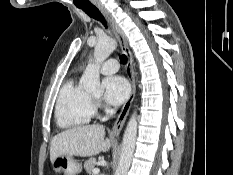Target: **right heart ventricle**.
I'll list each match as a JSON object with an SVG mask.
<instances>
[{
	"mask_svg": "<svg viewBox=\"0 0 233 175\" xmlns=\"http://www.w3.org/2000/svg\"><path fill=\"white\" fill-rule=\"evenodd\" d=\"M95 106L75 79L61 87L55 105V120L62 129H76L87 125L93 118Z\"/></svg>",
	"mask_w": 233,
	"mask_h": 175,
	"instance_id": "right-heart-ventricle-1",
	"label": "right heart ventricle"
}]
</instances>
